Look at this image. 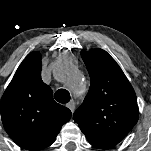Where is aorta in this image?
Wrapping results in <instances>:
<instances>
[{
    "mask_svg": "<svg viewBox=\"0 0 151 151\" xmlns=\"http://www.w3.org/2000/svg\"><path fill=\"white\" fill-rule=\"evenodd\" d=\"M56 73H73V67L68 62H62L57 65L55 69Z\"/></svg>",
    "mask_w": 151,
    "mask_h": 151,
    "instance_id": "1",
    "label": "aorta"
}]
</instances>
